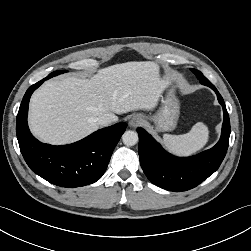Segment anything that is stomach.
Wrapping results in <instances>:
<instances>
[{"label":"stomach","mask_w":251,"mask_h":251,"mask_svg":"<svg viewBox=\"0 0 251 251\" xmlns=\"http://www.w3.org/2000/svg\"><path fill=\"white\" fill-rule=\"evenodd\" d=\"M167 88V94L162 99L160 110L151 117L157 131L174 130L180 114V103L176 96V86L170 83Z\"/></svg>","instance_id":"0dacf381"}]
</instances>
